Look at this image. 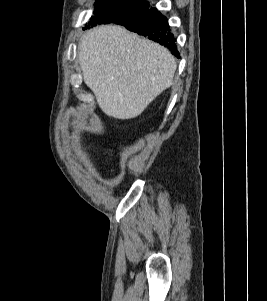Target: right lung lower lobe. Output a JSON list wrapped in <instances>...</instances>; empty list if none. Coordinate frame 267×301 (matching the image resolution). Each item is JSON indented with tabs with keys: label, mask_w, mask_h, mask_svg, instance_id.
<instances>
[{
	"label": "right lung lower lobe",
	"mask_w": 267,
	"mask_h": 301,
	"mask_svg": "<svg viewBox=\"0 0 267 301\" xmlns=\"http://www.w3.org/2000/svg\"><path fill=\"white\" fill-rule=\"evenodd\" d=\"M114 23L125 26L128 30L140 35L148 36L149 39L167 47L179 58L176 39L169 28L168 21L155 8L127 15Z\"/></svg>",
	"instance_id": "obj_1"
}]
</instances>
